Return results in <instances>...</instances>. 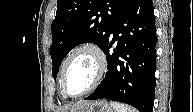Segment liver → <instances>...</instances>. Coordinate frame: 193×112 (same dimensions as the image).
I'll return each instance as SVG.
<instances>
[{
	"label": "liver",
	"mask_w": 193,
	"mask_h": 112,
	"mask_svg": "<svg viewBox=\"0 0 193 112\" xmlns=\"http://www.w3.org/2000/svg\"><path fill=\"white\" fill-rule=\"evenodd\" d=\"M90 103H91V101H79V102L72 103V104H69V105L64 106V107L61 109V111H62V112H67V111L77 112V111H79L80 109H83V108H85L86 106H88Z\"/></svg>",
	"instance_id": "1"
}]
</instances>
